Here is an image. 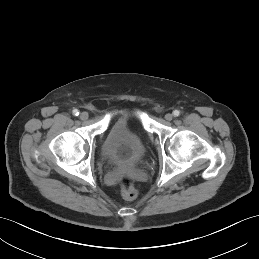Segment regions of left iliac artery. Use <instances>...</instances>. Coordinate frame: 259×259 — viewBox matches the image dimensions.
Listing matches in <instances>:
<instances>
[{"mask_svg": "<svg viewBox=\"0 0 259 259\" xmlns=\"http://www.w3.org/2000/svg\"><path fill=\"white\" fill-rule=\"evenodd\" d=\"M173 115H174V116H179V115H180V111H179V110L173 111Z\"/></svg>", "mask_w": 259, "mask_h": 259, "instance_id": "obj_1", "label": "left iliac artery"}]
</instances>
